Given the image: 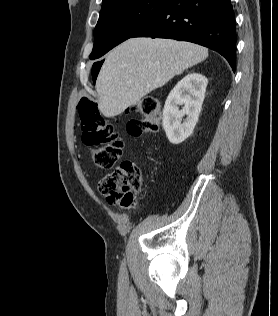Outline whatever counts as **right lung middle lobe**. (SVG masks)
I'll return each mask as SVG.
<instances>
[{
  "label": "right lung middle lobe",
  "instance_id": "1",
  "mask_svg": "<svg viewBox=\"0 0 278 316\" xmlns=\"http://www.w3.org/2000/svg\"><path fill=\"white\" fill-rule=\"evenodd\" d=\"M166 0H108L102 3L94 30V47L89 58L96 59L132 37L161 9ZM98 71L94 68L92 74Z\"/></svg>",
  "mask_w": 278,
  "mask_h": 316
}]
</instances>
